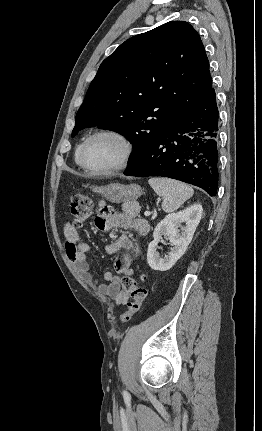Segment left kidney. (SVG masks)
<instances>
[{
	"label": "left kidney",
	"mask_w": 262,
	"mask_h": 431,
	"mask_svg": "<svg viewBox=\"0 0 262 431\" xmlns=\"http://www.w3.org/2000/svg\"><path fill=\"white\" fill-rule=\"evenodd\" d=\"M203 208L195 204L183 211L168 214L156 226L147 252V262L153 270L167 271L183 256L191 242L194 232L201 220ZM185 223V226L182 224ZM181 228V231L178 228ZM163 235L169 237L173 246L171 252L162 258L157 251L158 243Z\"/></svg>",
	"instance_id": "left-kidney-1"
}]
</instances>
